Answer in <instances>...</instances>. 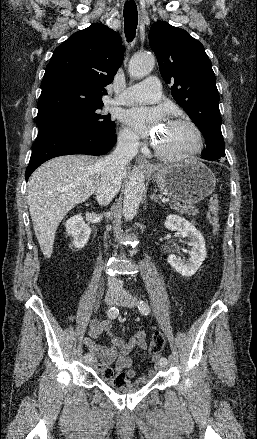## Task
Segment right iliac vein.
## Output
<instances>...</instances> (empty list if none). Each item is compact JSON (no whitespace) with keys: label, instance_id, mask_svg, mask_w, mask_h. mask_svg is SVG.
<instances>
[{"label":"right iliac vein","instance_id":"63e3f726","mask_svg":"<svg viewBox=\"0 0 257 439\" xmlns=\"http://www.w3.org/2000/svg\"><path fill=\"white\" fill-rule=\"evenodd\" d=\"M120 294L114 291H108L105 295V303L109 306L115 304L119 298ZM89 365H94L93 359L86 360Z\"/></svg>","mask_w":257,"mask_h":439}]
</instances>
